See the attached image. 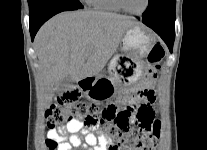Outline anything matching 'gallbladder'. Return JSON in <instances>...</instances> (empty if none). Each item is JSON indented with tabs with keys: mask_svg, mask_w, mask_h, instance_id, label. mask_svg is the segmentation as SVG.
Segmentation results:
<instances>
[{
	"mask_svg": "<svg viewBox=\"0 0 207 150\" xmlns=\"http://www.w3.org/2000/svg\"><path fill=\"white\" fill-rule=\"evenodd\" d=\"M74 81L70 77L64 78L62 81L59 82L57 87V94H62L63 92L73 88Z\"/></svg>",
	"mask_w": 207,
	"mask_h": 150,
	"instance_id": "gallbladder-1",
	"label": "gallbladder"
}]
</instances>
